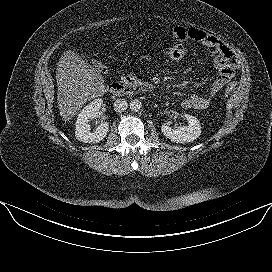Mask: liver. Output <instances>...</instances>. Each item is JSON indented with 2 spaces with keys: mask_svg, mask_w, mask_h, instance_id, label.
<instances>
[{
  "mask_svg": "<svg viewBox=\"0 0 272 272\" xmlns=\"http://www.w3.org/2000/svg\"><path fill=\"white\" fill-rule=\"evenodd\" d=\"M56 80L58 108L65 122L73 119L87 101L105 92L102 75L71 50L59 59Z\"/></svg>",
  "mask_w": 272,
  "mask_h": 272,
  "instance_id": "1",
  "label": "liver"
}]
</instances>
